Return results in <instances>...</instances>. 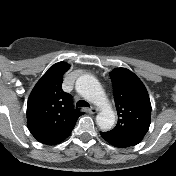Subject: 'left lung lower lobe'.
Instances as JSON below:
<instances>
[{
	"label": "left lung lower lobe",
	"instance_id": "left-lung-lower-lobe-1",
	"mask_svg": "<svg viewBox=\"0 0 176 176\" xmlns=\"http://www.w3.org/2000/svg\"><path fill=\"white\" fill-rule=\"evenodd\" d=\"M101 136L110 144H112L115 147H119V148H124V147H129L132 146L124 141H122L121 139L114 137L112 135H110L109 133L105 132V133H101Z\"/></svg>",
	"mask_w": 176,
	"mask_h": 176
}]
</instances>
